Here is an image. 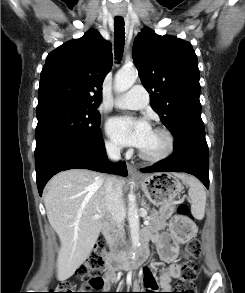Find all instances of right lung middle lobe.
Wrapping results in <instances>:
<instances>
[{"mask_svg":"<svg viewBox=\"0 0 245 293\" xmlns=\"http://www.w3.org/2000/svg\"><path fill=\"white\" fill-rule=\"evenodd\" d=\"M35 159L66 141L95 140L101 136L100 115L90 107L52 105L37 109Z\"/></svg>","mask_w":245,"mask_h":293,"instance_id":"right-lung-middle-lobe-1","label":"right lung middle lobe"}]
</instances>
